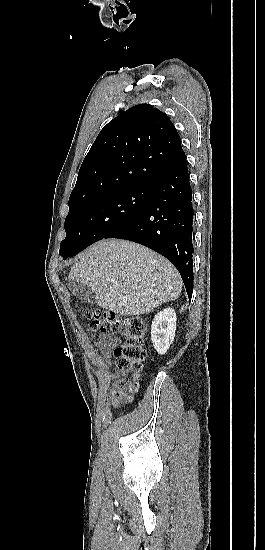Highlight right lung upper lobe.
Wrapping results in <instances>:
<instances>
[{
    "instance_id": "right-lung-upper-lobe-1",
    "label": "right lung upper lobe",
    "mask_w": 265,
    "mask_h": 550,
    "mask_svg": "<svg viewBox=\"0 0 265 550\" xmlns=\"http://www.w3.org/2000/svg\"><path fill=\"white\" fill-rule=\"evenodd\" d=\"M185 155L168 116L139 104L103 127L86 155L69 204L156 180Z\"/></svg>"
}]
</instances>
